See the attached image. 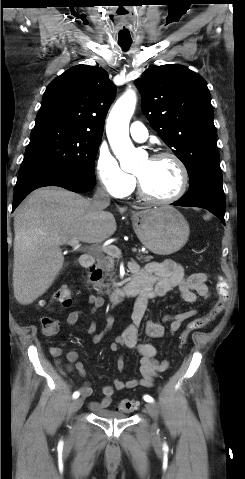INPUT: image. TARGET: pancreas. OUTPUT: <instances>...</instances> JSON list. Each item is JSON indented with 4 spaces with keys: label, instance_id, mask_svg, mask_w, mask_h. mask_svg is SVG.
Segmentation results:
<instances>
[{
    "label": "pancreas",
    "instance_id": "cf45deb5",
    "mask_svg": "<svg viewBox=\"0 0 245 479\" xmlns=\"http://www.w3.org/2000/svg\"><path fill=\"white\" fill-rule=\"evenodd\" d=\"M152 256H140V259H143L145 262H148L152 259ZM114 257L111 255L97 254V264L96 267L103 272V276L100 280L94 281V286L99 292H102L103 289H106L105 293L109 294L112 287L116 286L114 283L115 279L113 276L114 272ZM104 281H107L106 283Z\"/></svg>",
    "mask_w": 245,
    "mask_h": 479
}]
</instances>
